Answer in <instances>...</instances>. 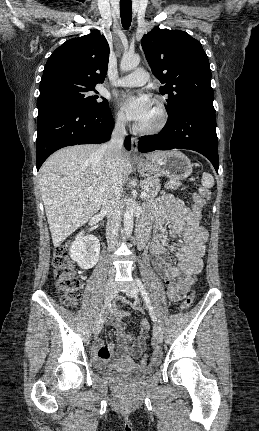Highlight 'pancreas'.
I'll use <instances>...</instances> for the list:
<instances>
[{"label":"pancreas","mask_w":259,"mask_h":431,"mask_svg":"<svg viewBox=\"0 0 259 431\" xmlns=\"http://www.w3.org/2000/svg\"><path fill=\"white\" fill-rule=\"evenodd\" d=\"M141 186L147 192V199H152L157 196L161 189L160 180L157 177H148L141 181ZM182 186L180 181H168L165 184L166 189L175 190Z\"/></svg>","instance_id":"obj_1"}]
</instances>
